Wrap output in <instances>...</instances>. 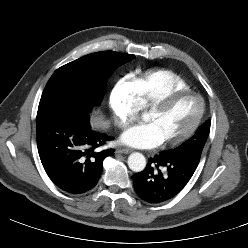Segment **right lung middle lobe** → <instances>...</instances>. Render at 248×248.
<instances>
[{
  "mask_svg": "<svg viewBox=\"0 0 248 248\" xmlns=\"http://www.w3.org/2000/svg\"><path fill=\"white\" fill-rule=\"evenodd\" d=\"M135 56L102 51L58 68L47 82L38 110H80L88 113L99 104L112 72Z\"/></svg>",
  "mask_w": 248,
  "mask_h": 248,
  "instance_id": "right-lung-middle-lobe-1",
  "label": "right lung middle lobe"
}]
</instances>
